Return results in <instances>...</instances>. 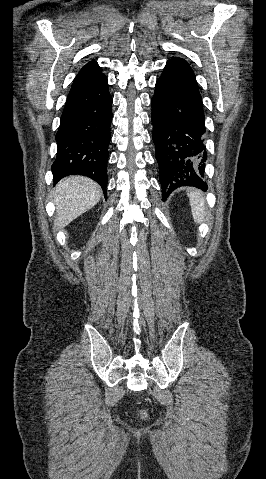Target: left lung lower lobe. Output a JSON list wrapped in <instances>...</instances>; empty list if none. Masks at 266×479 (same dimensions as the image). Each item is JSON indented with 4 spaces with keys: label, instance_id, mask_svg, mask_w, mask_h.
Masks as SVG:
<instances>
[{
    "label": "left lung lower lobe",
    "instance_id": "obj_1",
    "mask_svg": "<svg viewBox=\"0 0 266 479\" xmlns=\"http://www.w3.org/2000/svg\"><path fill=\"white\" fill-rule=\"evenodd\" d=\"M153 142L159 164L162 199L181 186L207 189V152L202 98L195 74L168 61L151 101Z\"/></svg>",
    "mask_w": 266,
    "mask_h": 479
}]
</instances>
